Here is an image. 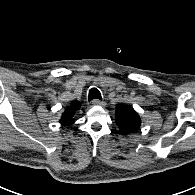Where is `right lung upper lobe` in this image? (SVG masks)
I'll use <instances>...</instances> for the list:
<instances>
[{
    "label": "right lung upper lobe",
    "instance_id": "obj_1",
    "mask_svg": "<svg viewBox=\"0 0 195 195\" xmlns=\"http://www.w3.org/2000/svg\"><path fill=\"white\" fill-rule=\"evenodd\" d=\"M81 104L78 101H72L71 105L65 109L63 112L60 123L62 125H67L69 126L74 122L73 116L75 112L80 108Z\"/></svg>",
    "mask_w": 195,
    "mask_h": 195
}]
</instances>
